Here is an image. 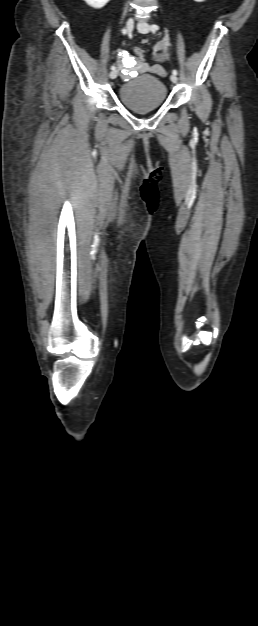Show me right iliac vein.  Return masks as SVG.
<instances>
[{
	"instance_id": "63e3f726",
	"label": "right iliac vein",
	"mask_w": 258,
	"mask_h": 626,
	"mask_svg": "<svg viewBox=\"0 0 258 626\" xmlns=\"http://www.w3.org/2000/svg\"><path fill=\"white\" fill-rule=\"evenodd\" d=\"M126 28L128 32H131L134 28V20L133 19H128L126 22ZM118 76V71L117 70H113L110 72L109 77L111 79H115Z\"/></svg>"
}]
</instances>
